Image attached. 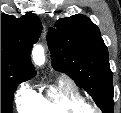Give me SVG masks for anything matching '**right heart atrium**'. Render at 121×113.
<instances>
[{
  "label": "right heart atrium",
  "mask_w": 121,
  "mask_h": 113,
  "mask_svg": "<svg viewBox=\"0 0 121 113\" xmlns=\"http://www.w3.org/2000/svg\"><path fill=\"white\" fill-rule=\"evenodd\" d=\"M27 93L28 92L26 90H24V89L19 90L18 97H17V102L19 100H21L22 98L26 97Z\"/></svg>",
  "instance_id": "d8ad5b80"
}]
</instances>
